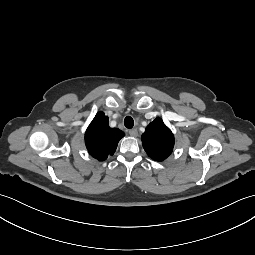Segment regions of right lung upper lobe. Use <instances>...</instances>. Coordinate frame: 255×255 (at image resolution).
<instances>
[{"label":"right lung upper lobe","instance_id":"obj_1","mask_svg":"<svg viewBox=\"0 0 255 255\" xmlns=\"http://www.w3.org/2000/svg\"><path fill=\"white\" fill-rule=\"evenodd\" d=\"M108 124V117L98 112L85 133L88 152L100 161L114 154L119 140L125 135L123 131L110 128Z\"/></svg>","mask_w":255,"mask_h":255}]
</instances>
